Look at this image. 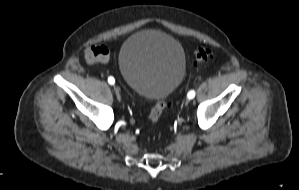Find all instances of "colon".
Listing matches in <instances>:
<instances>
[{
	"instance_id": "colon-1",
	"label": "colon",
	"mask_w": 299,
	"mask_h": 190,
	"mask_svg": "<svg viewBox=\"0 0 299 190\" xmlns=\"http://www.w3.org/2000/svg\"><path fill=\"white\" fill-rule=\"evenodd\" d=\"M213 56V52L209 48L200 47L195 53V64L201 65L209 62L213 59ZM167 106L168 104L166 100H159L153 105L149 114V123L151 125H155L159 121Z\"/></svg>"
}]
</instances>
